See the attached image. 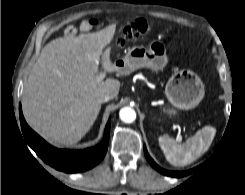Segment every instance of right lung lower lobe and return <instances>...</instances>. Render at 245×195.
<instances>
[{
    "label": "right lung lower lobe",
    "instance_id": "98d812e1",
    "mask_svg": "<svg viewBox=\"0 0 245 195\" xmlns=\"http://www.w3.org/2000/svg\"><path fill=\"white\" fill-rule=\"evenodd\" d=\"M19 115L21 129L28 145L46 164L59 171L66 173L86 171L97 165L106 154L110 134V118L102 142L95 147L77 151L57 149L45 142L27 125L22 114L21 105L19 106Z\"/></svg>",
    "mask_w": 245,
    "mask_h": 195
}]
</instances>
